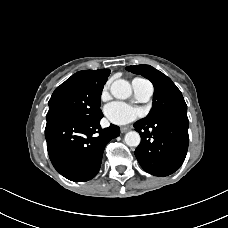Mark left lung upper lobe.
<instances>
[{
    "label": "left lung upper lobe",
    "instance_id": "1",
    "mask_svg": "<svg viewBox=\"0 0 228 228\" xmlns=\"http://www.w3.org/2000/svg\"><path fill=\"white\" fill-rule=\"evenodd\" d=\"M128 71L140 74L154 85L153 106L142 122H154L158 118L178 109L187 108L182 93L172 80L150 65H134L126 68Z\"/></svg>",
    "mask_w": 228,
    "mask_h": 228
}]
</instances>
